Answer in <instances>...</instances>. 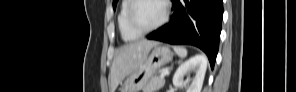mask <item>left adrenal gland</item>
I'll return each instance as SVG.
<instances>
[{"instance_id":"left-adrenal-gland-1","label":"left adrenal gland","mask_w":296,"mask_h":92,"mask_svg":"<svg viewBox=\"0 0 296 92\" xmlns=\"http://www.w3.org/2000/svg\"><path fill=\"white\" fill-rule=\"evenodd\" d=\"M172 67H173V65H171L170 70L172 69ZM167 75H169V73Z\"/></svg>"}]
</instances>
